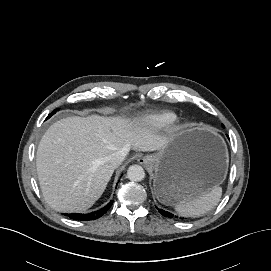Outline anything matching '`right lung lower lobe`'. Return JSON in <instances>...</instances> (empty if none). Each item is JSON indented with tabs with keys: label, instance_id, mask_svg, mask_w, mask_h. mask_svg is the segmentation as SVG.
<instances>
[{
	"label": "right lung lower lobe",
	"instance_id": "obj_1",
	"mask_svg": "<svg viewBox=\"0 0 271 271\" xmlns=\"http://www.w3.org/2000/svg\"><path fill=\"white\" fill-rule=\"evenodd\" d=\"M112 203H113V201H110L102 209L88 213V214L71 213V214H66V215L71 219L81 220V221H88V220L97 219V218L101 217L102 215H104V213L107 212V210L112 206Z\"/></svg>",
	"mask_w": 271,
	"mask_h": 271
}]
</instances>
